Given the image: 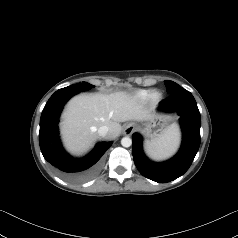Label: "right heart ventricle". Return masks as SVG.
Wrapping results in <instances>:
<instances>
[{
  "label": "right heart ventricle",
  "mask_w": 238,
  "mask_h": 238,
  "mask_svg": "<svg viewBox=\"0 0 238 238\" xmlns=\"http://www.w3.org/2000/svg\"><path fill=\"white\" fill-rule=\"evenodd\" d=\"M151 95V90H140L136 93V98L141 101H146Z\"/></svg>",
  "instance_id": "e07e8e85"
}]
</instances>
